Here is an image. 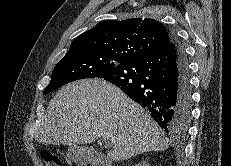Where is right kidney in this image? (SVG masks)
I'll return each instance as SVG.
<instances>
[{"label": "right kidney", "mask_w": 231, "mask_h": 166, "mask_svg": "<svg viewBox=\"0 0 231 166\" xmlns=\"http://www.w3.org/2000/svg\"><path fill=\"white\" fill-rule=\"evenodd\" d=\"M134 166H150V164L147 161H142L138 164H135Z\"/></svg>", "instance_id": "ca27d5eb"}]
</instances>
